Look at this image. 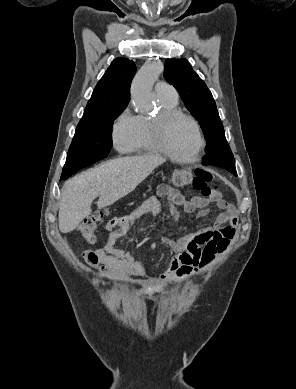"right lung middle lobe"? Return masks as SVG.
Instances as JSON below:
<instances>
[{"label":"right lung middle lobe","mask_w":296,"mask_h":389,"mask_svg":"<svg viewBox=\"0 0 296 389\" xmlns=\"http://www.w3.org/2000/svg\"><path fill=\"white\" fill-rule=\"evenodd\" d=\"M125 107L82 118L76 128L62 173L78 170L104 159L112 147V125Z\"/></svg>","instance_id":"dd1d6c3e"}]
</instances>
